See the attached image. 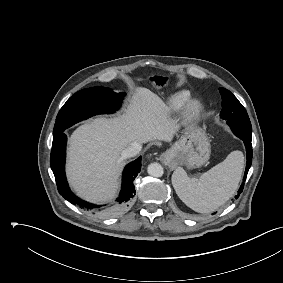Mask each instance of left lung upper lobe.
Listing matches in <instances>:
<instances>
[{
    "instance_id": "5c2ea615",
    "label": "left lung upper lobe",
    "mask_w": 283,
    "mask_h": 283,
    "mask_svg": "<svg viewBox=\"0 0 283 283\" xmlns=\"http://www.w3.org/2000/svg\"><path fill=\"white\" fill-rule=\"evenodd\" d=\"M222 95V111L220 117L227 120L233 133L239 137L245 130H252L248 114L238 99L227 89L219 88Z\"/></svg>"
}]
</instances>
